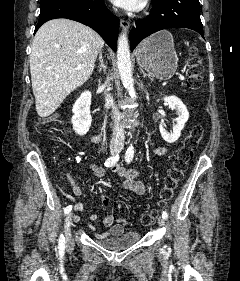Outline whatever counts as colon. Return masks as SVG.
<instances>
[{"mask_svg":"<svg viewBox=\"0 0 240 281\" xmlns=\"http://www.w3.org/2000/svg\"><path fill=\"white\" fill-rule=\"evenodd\" d=\"M192 52L193 55L187 67V86L191 90L196 91L202 84L201 65L198 57L194 55L195 49H193ZM203 135V127L201 125H195L191 129L190 133L185 137L165 179L164 186L161 191V200L159 203L160 207H164L172 198L174 190L176 189L178 183L182 180L187 165L193 156V152L198 146V143L202 140ZM157 214V209H154L150 213L146 214L142 219L143 224H152L155 221ZM113 217L120 225H128L129 209L124 202L118 201L114 204Z\"/></svg>","mask_w":240,"mask_h":281,"instance_id":"1","label":"colon"}]
</instances>
